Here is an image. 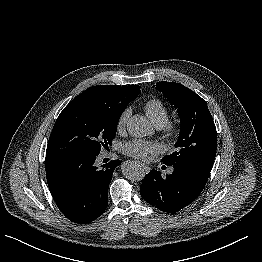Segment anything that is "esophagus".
<instances>
[{
  "label": "esophagus",
  "instance_id": "esophagus-1",
  "mask_svg": "<svg viewBox=\"0 0 262 262\" xmlns=\"http://www.w3.org/2000/svg\"><path fill=\"white\" fill-rule=\"evenodd\" d=\"M139 164H140L141 168L143 169V171H145V172L150 171V168L147 165H145L144 163L139 162Z\"/></svg>",
  "mask_w": 262,
  "mask_h": 262
}]
</instances>
